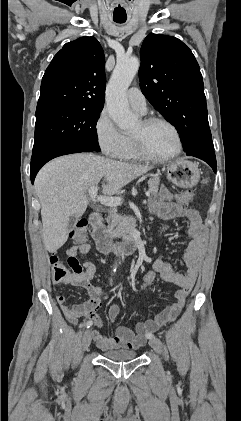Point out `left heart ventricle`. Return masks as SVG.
<instances>
[{
  "label": "left heart ventricle",
  "mask_w": 241,
  "mask_h": 421,
  "mask_svg": "<svg viewBox=\"0 0 241 421\" xmlns=\"http://www.w3.org/2000/svg\"><path fill=\"white\" fill-rule=\"evenodd\" d=\"M143 133V140L147 150L156 157H165L173 153L177 146L174 132L168 126L157 123L143 129L141 121L131 133Z\"/></svg>",
  "instance_id": "left-heart-ventricle-1"
}]
</instances>
